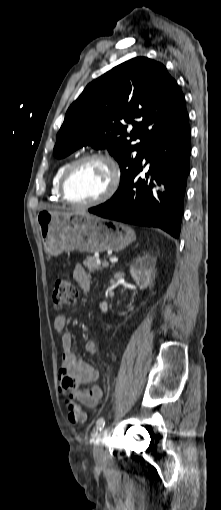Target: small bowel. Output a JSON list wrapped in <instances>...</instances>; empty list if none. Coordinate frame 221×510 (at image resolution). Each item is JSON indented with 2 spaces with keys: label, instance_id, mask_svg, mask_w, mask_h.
<instances>
[{
  "label": "small bowel",
  "instance_id": "small-bowel-1",
  "mask_svg": "<svg viewBox=\"0 0 221 510\" xmlns=\"http://www.w3.org/2000/svg\"><path fill=\"white\" fill-rule=\"evenodd\" d=\"M73 279L83 291H89L92 278L86 269L78 264L73 270ZM67 325V317L63 314L54 318V328L63 331ZM63 356L59 369V390L62 394L70 396L88 408L96 407L103 399L104 390L100 385L88 384L96 382L99 378L98 370L91 364L80 359L73 351V336L70 333L62 335ZM85 350L90 355L98 352L95 342L88 341Z\"/></svg>",
  "mask_w": 221,
  "mask_h": 510
}]
</instances>
